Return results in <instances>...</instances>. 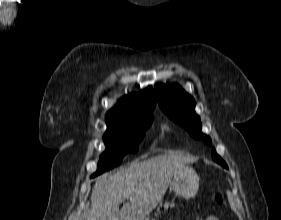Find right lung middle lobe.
Segmentation results:
<instances>
[{
    "mask_svg": "<svg viewBox=\"0 0 281 220\" xmlns=\"http://www.w3.org/2000/svg\"><path fill=\"white\" fill-rule=\"evenodd\" d=\"M153 116H146L115 127H108L103 136L106 146L105 152L100 156L97 171L91 176L95 177L117 165L121 164L127 153H136L139 143L150 127Z\"/></svg>",
    "mask_w": 281,
    "mask_h": 220,
    "instance_id": "1",
    "label": "right lung middle lobe"
}]
</instances>
